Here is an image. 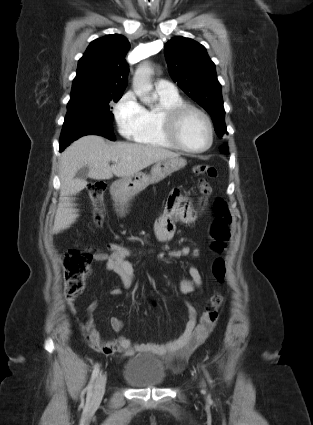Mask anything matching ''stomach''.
<instances>
[{
  "instance_id": "stomach-1",
  "label": "stomach",
  "mask_w": 313,
  "mask_h": 425,
  "mask_svg": "<svg viewBox=\"0 0 313 425\" xmlns=\"http://www.w3.org/2000/svg\"><path fill=\"white\" fill-rule=\"evenodd\" d=\"M186 164L187 161L181 157L158 161L151 168L150 174L138 172L115 181L111 188L112 194L117 201H129L149 185L162 181L167 176L185 167Z\"/></svg>"
}]
</instances>
